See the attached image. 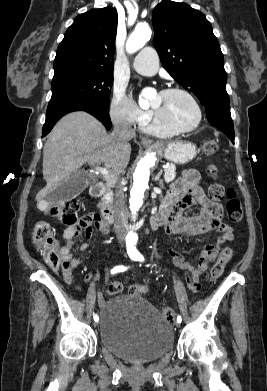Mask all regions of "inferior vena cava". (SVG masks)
I'll use <instances>...</instances> for the list:
<instances>
[{"label": "inferior vena cava", "instance_id": "1", "mask_svg": "<svg viewBox=\"0 0 267 391\" xmlns=\"http://www.w3.org/2000/svg\"><path fill=\"white\" fill-rule=\"evenodd\" d=\"M112 136L118 141V143L127 145L128 141L135 137V131L127 122L122 120H115ZM127 223L124 193L121 184H117L114 204V230L119 243L125 241Z\"/></svg>", "mask_w": 267, "mask_h": 391}]
</instances>
